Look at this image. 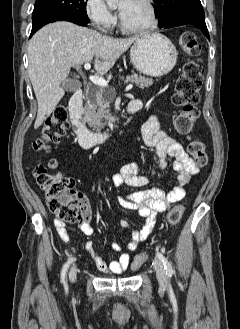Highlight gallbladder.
<instances>
[{"instance_id":"gallbladder-1","label":"gallbladder","mask_w":240,"mask_h":329,"mask_svg":"<svg viewBox=\"0 0 240 329\" xmlns=\"http://www.w3.org/2000/svg\"><path fill=\"white\" fill-rule=\"evenodd\" d=\"M62 87L67 92H74L81 87V83L77 79H67L62 83Z\"/></svg>"}]
</instances>
